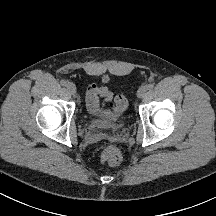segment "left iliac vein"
<instances>
[{"label": "left iliac vein", "mask_w": 216, "mask_h": 216, "mask_svg": "<svg viewBox=\"0 0 216 216\" xmlns=\"http://www.w3.org/2000/svg\"><path fill=\"white\" fill-rule=\"evenodd\" d=\"M147 90H148L147 86H141L137 91V96L139 98H143L145 96Z\"/></svg>", "instance_id": "1"}]
</instances>
